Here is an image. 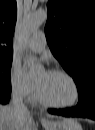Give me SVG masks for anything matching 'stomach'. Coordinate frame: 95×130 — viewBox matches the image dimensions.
Listing matches in <instances>:
<instances>
[{"instance_id":"1","label":"stomach","mask_w":95,"mask_h":130,"mask_svg":"<svg viewBox=\"0 0 95 130\" xmlns=\"http://www.w3.org/2000/svg\"><path fill=\"white\" fill-rule=\"evenodd\" d=\"M43 127L45 130H83L80 123L74 118H62L45 122Z\"/></svg>"}]
</instances>
